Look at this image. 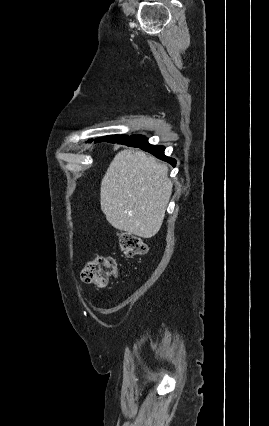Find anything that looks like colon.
Masks as SVG:
<instances>
[{"label":"colon","instance_id":"obj_1","mask_svg":"<svg viewBox=\"0 0 269 426\" xmlns=\"http://www.w3.org/2000/svg\"><path fill=\"white\" fill-rule=\"evenodd\" d=\"M121 252L126 257L142 255L147 251V245L142 237L121 231L118 234ZM120 269L112 256H98L89 259L81 273L85 283L94 286H105L111 277H118Z\"/></svg>","mask_w":269,"mask_h":426}]
</instances>
